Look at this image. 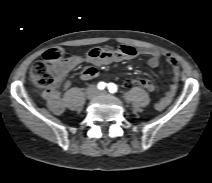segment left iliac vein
I'll list each match as a JSON object with an SVG mask.
<instances>
[{
    "label": "left iliac vein",
    "instance_id": "4c4485c4",
    "mask_svg": "<svg viewBox=\"0 0 212 183\" xmlns=\"http://www.w3.org/2000/svg\"><path fill=\"white\" fill-rule=\"evenodd\" d=\"M101 94H105V92H101Z\"/></svg>",
    "mask_w": 212,
    "mask_h": 183
}]
</instances>
